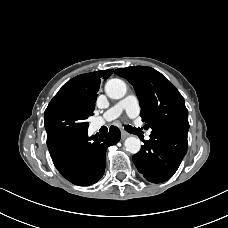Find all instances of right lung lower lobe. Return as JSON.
<instances>
[{
  "instance_id": "1",
  "label": "right lung lower lobe",
  "mask_w": 228,
  "mask_h": 228,
  "mask_svg": "<svg viewBox=\"0 0 228 228\" xmlns=\"http://www.w3.org/2000/svg\"><path fill=\"white\" fill-rule=\"evenodd\" d=\"M120 130L88 137L87 130L70 132L47 142L53 163L70 182L79 186L96 183L104 174L106 149L118 143Z\"/></svg>"
}]
</instances>
